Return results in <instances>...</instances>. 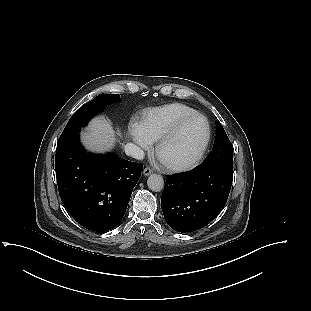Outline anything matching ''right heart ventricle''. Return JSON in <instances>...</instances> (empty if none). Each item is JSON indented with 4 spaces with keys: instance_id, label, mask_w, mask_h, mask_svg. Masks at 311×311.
Here are the masks:
<instances>
[{
    "instance_id": "obj_1",
    "label": "right heart ventricle",
    "mask_w": 311,
    "mask_h": 311,
    "mask_svg": "<svg viewBox=\"0 0 311 311\" xmlns=\"http://www.w3.org/2000/svg\"><path fill=\"white\" fill-rule=\"evenodd\" d=\"M193 113H196V110L192 107L181 103H171L147 110L141 126L149 140L156 142L181 118Z\"/></svg>"
}]
</instances>
